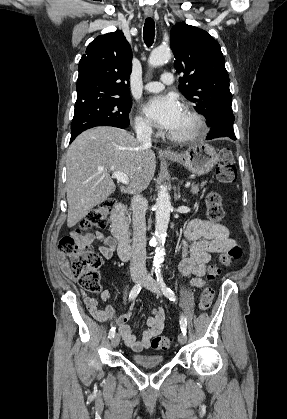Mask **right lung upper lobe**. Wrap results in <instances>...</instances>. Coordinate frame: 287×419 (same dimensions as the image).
Returning a JSON list of instances; mask_svg holds the SVG:
<instances>
[{
    "instance_id": "1",
    "label": "right lung upper lobe",
    "mask_w": 287,
    "mask_h": 419,
    "mask_svg": "<svg viewBox=\"0 0 287 419\" xmlns=\"http://www.w3.org/2000/svg\"><path fill=\"white\" fill-rule=\"evenodd\" d=\"M132 51L122 31L98 36L79 62L75 108L110 98L129 97Z\"/></svg>"
}]
</instances>
